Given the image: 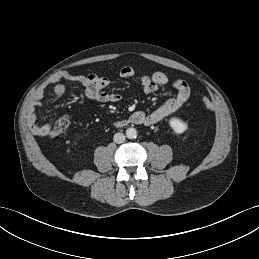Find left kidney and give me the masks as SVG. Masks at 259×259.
Here are the masks:
<instances>
[{
  "instance_id": "5707ae66",
  "label": "left kidney",
  "mask_w": 259,
  "mask_h": 259,
  "mask_svg": "<svg viewBox=\"0 0 259 259\" xmlns=\"http://www.w3.org/2000/svg\"><path fill=\"white\" fill-rule=\"evenodd\" d=\"M169 124H170V127L173 129V131L176 134H182L188 128V126H187V124L185 122H183V121H181L180 119H177V118H172L169 121Z\"/></svg>"
}]
</instances>
